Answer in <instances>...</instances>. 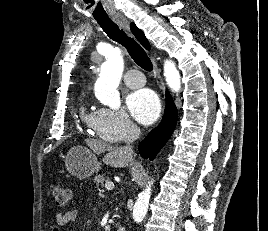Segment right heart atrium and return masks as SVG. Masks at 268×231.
Listing matches in <instances>:
<instances>
[{"label": "right heart atrium", "instance_id": "d8ad5b80", "mask_svg": "<svg viewBox=\"0 0 268 231\" xmlns=\"http://www.w3.org/2000/svg\"><path fill=\"white\" fill-rule=\"evenodd\" d=\"M92 128L104 141L120 143L124 138H131L135 125L123 110L101 107L94 111Z\"/></svg>", "mask_w": 268, "mask_h": 231}]
</instances>
